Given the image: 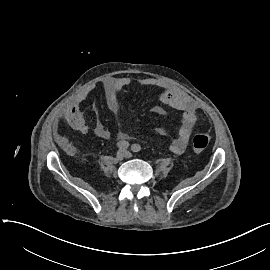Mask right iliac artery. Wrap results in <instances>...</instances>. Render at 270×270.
<instances>
[{"label":"right iliac artery","instance_id":"1","mask_svg":"<svg viewBox=\"0 0 270 270\" xmlns=\"http://www.w3.org/2000/svg\"><path fill=\"white\" fill-rule=\"evenodd\" d=\"M117 147L119 149H123L124 150V149H127L129 147V143L127 141H119L117 143Z\"/></svg>","mask_w":270,"mask_h":270}]
</instances>
